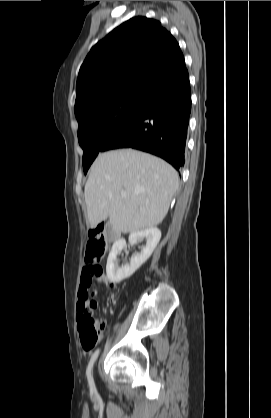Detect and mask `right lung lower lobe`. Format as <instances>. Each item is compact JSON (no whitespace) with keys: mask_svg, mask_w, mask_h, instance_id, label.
Here are the masks:
<instances>
[{"mask_svg":"<svg viewBox=\"0 0 271 418\" xmlns=\"http://www.w3.org/2000/svg\"><path fill=\"white\" fill-rule=\"evenodd\" d=\"M191 112L188 71L156 93L137 113L105 140L100 152L134 148L157 155L179 170L184 164Z\"/></svg>","mask_w":271,"mask_h":418,"instance_id":"obj_1","label":"right lung lower lobe"}]
</instances>
